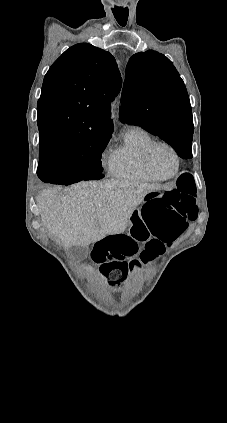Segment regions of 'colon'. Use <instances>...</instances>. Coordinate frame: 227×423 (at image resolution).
I'll use <instances>...</instances> for the list:
<instances>
[{"label": "colon", "mask_w": 227, "mask_h": 423, "mask_svg": "<svg viewBox=\"0 0 227 423\" xmlns=\"http://www.w3.org/2000/svg\"><path fill=\"white\" fill-rule=\"evenodd\" d=\"M196 196L191 175L181 174L176 188L156 189L145 196L140 217L150 234L168 245L186 230L188 222L197 218ZM146 236V229L134 222L129 234L110 235L95 244L93 259L100 264V271L110 285L117 286L123 281L131 267L129 258L138 255L141 261L147 262L162 253L154 240L139 249Z\"/></svg>", "instance_id": "5ec220e1"}]
</instances>
